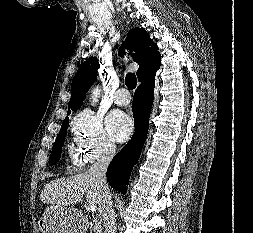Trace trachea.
I'll return each instance as SVG.
<instances>
[{
	"instance_id": "1",
	"label": "trachea",
	"mask_w": 253,
	"mask_h": 233,
	"mask_svg": "<svg viewBox=\"0 0 253 233\" xmlns=\"http://www.w3.org/2000/svg\"><path fill=\"white\" fill-rule=\"evenodd\" d=\"M126 86L129 89H135L137 85L136 75L134 73H128L125 78Z\"/></svg>"
}]
</instances>
